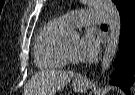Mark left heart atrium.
<instances>
[{
    "label": "left heart atrium",
    "instance_id": "39dd6f15",
    "mask_svg": "<svg viewBox=\"0 0 135 95\" xmlns=\"http://www.w3.org/2000/svg\"><path fill=\"white\" fill-rule=\"evenodd\" d=\"M99 40L93 32H86L78 42L76 55L81 61H91L98 53Z\"/></svg>",
    "mask_w": 135,
    "mask_h": 95
}]
</instances>
